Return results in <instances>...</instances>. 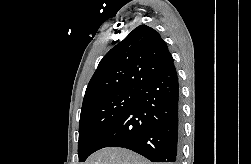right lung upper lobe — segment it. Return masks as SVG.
Returning <instances> with one entry per match:
<instances>
[{
	"label": "right lung upper lobe",
	"mask_w": 251,
	"mask_h": 164,
	"mask_svg": "<svg viewBox=\"0 0 251 164\" xmlns=\"http://www.w3.org/2000/svg\"><path fill=\"white\" fill-rule=\"evenodd\" d=\"M174 60L160 34L147 25L135 28L100 61L83 100L120 89L135 88L160 75Z\"/></svg>",
	"instance_id": "right-lung-upper-lobe-1"
}]
</instances>
